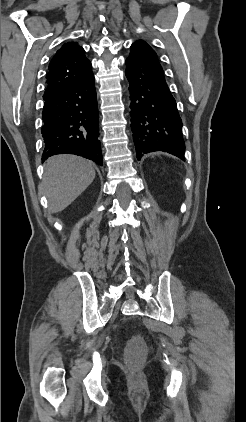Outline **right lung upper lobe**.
<instances>
[{
	"label": "right lung upper lobe",
	"instance_id": "obj_1",
	"mask_svg": "<svg viewBox=\"0 0 246 422\" xmlns=\"http://www.w3.org/2000/svg\"><path fill=\"white\" fill-rule=\"evenodd\" d=\"M48 69L47 88L43 98L81 83L93 74L91 63L85 57L84 49L77 42L63 44L53 56Z\"/></svg>",
	"mask_w": 246,
	"mask_h": 422
}]
</instances>
